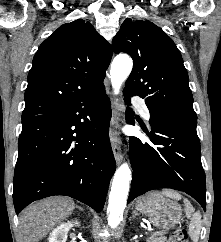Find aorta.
I'll use <instances>...</instances> for the list:
<instances>
[{"label":"aorta","mask_w":221,"mask_h":242,"mask_svg":"<svg viewBox=\"0 0 221 242\" xmlns=\"http://www.w3.org/2000/svg\"><path fill=\"white\" fill-rule=\"evenodd\" d=\"M133 67L132 59L127 55L116 56L111 64L110 80L114 93L118 94L124 81ZM131 180V169L127 163L122 164L115 172L109 195L107 212L108 224L116 227L122 220L126 207Z\"/></svg>","instance_id":"1"}]
</instances>
